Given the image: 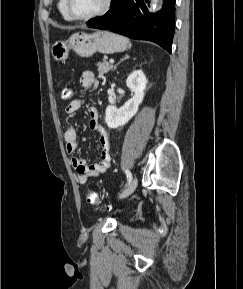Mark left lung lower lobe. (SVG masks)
Listing matches in <instances>:
<instances>
[{
  "mask_svg": "<svg viewBox=\"0 0 243 289\" xmlns=\"http://www.w3.org/2000/svg\"><path fill=\"white\" fill-rule=\"evenodd\" d=\"M157 14H149L148 0H112L110 10L102 17L91 19L89 27L137 39L148 40L171 52L174 35L175 0H163Z\"/></svg>",
  "mask_w": 243,
  "mask_h": 289,
  "instance_id": "0a47b994",
  "label": "left lung lower lobe"
}]
</instances>
